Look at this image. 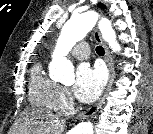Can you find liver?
I'll return each mask as SVG.
<instances>
[{
	"instance_id": "obj_1",
	"label": "liver",
	"mask_w": 153,
	"mask_h": 134,
	"mask_svg": "<svg viewBox=\"0 0 153 134\" xmlns=\"http://www.w3.org/2000/svg\"><path fill=\"white\" fill-rule=\"evenodd\" d=\"M24 122L18 129V134H28V132H42L41 134H49V132H57L59 120L55 116L39 111H31L24 113ZM28 120V122H27ZM64 129V124H61Z\"/></svg>"
}]
</instances>
